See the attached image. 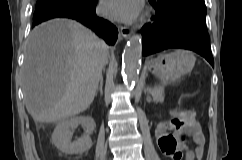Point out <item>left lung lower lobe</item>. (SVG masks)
I'll list each match as a JSON object with an SVG mask.
<instances>
[{"mask_svg": "<svg viewBox=\"0 0 242 160\" xmlns=\"http://www.w3.org/2000/svg\"><path fill=\"white\" fill-rule=\"evenodd\" d=\"M155 10L152 22L141 29L144 56L169 48H183L200 54L214 67L206 16L175 17Z\"/></svg>", "mask_w": 242, "mask_h": 160, "instance_id": "0a47b994", "label": "left lung lower lobe"}]
</instances>
